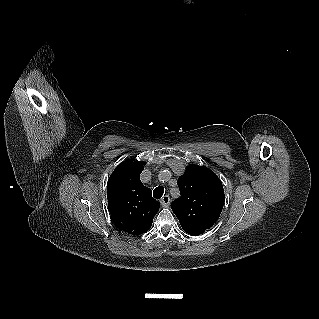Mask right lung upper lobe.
I'll return each instance as SVG.
<instances>
[{
  "mask_svg": "<svg viewBox=\"0 0 319 319\" xmlns=\"http://www.w3.org/2000/svg\"><path fill=\"white\" fill-rule=\"evenodd\" d=\"M143 170V161L126 160L115 168L107 184L112 221L119 230L134 236L151 228L160 205L140 180Z\"/></svg>",
  "mask_w": 319,
  "mask_h": 319,
  "instance_id": "cb5924a9",
  "label": "right lung upper lobe"
}]
</instances>
